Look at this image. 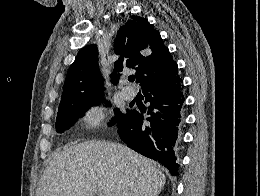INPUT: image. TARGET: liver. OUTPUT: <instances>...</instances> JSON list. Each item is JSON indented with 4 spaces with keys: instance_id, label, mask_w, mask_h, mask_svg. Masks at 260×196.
<instances>
[{
    "instance_id": "liver-1",
    "label": "liver",
    "mask_w": 260,
    "mask_h": 196,
    "mask_svg": "<svg viewBox=\"0 0 260 196\" xmlns=\"http://www.w3.org/2000/svg\"><path fill=\"white\" fill-rule=\"evenodd\" d=\"M165 182L156 162L123 144L82 142L52 158L36 196H158Z\"/></svg>"
}]
</instances>
